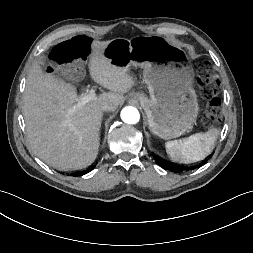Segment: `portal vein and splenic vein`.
<instances>
[{
	"label": "portal vein and splenic vein",
	"instance_id": "1",
	"mask_svg": "<svg viewBox=\"0 0 253 253\" xmlns=\"http://www.w3.org/2000/svg\"><path fill=\"white\" fill-rule=\"evenodd\" d=\"M94 98H95V91H94L93 89H91V90L89 91V93H87V94H82V95L80 96L79 102H80L81 104H85V103H87V102L93 100Z\"/></svg>",
	"mask_w": 253,
	"mask_h": 253
}]
</instances>
